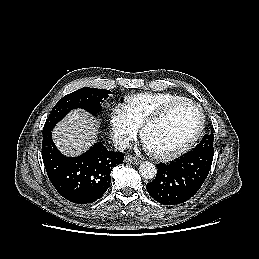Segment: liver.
<instances>
[{
  "mask_svg": "<svg viewBox=\"0 0 259 259\" xmlns=\"http://www.w3.org/2000/svg\"><path fill=\"white\" fill-rule=\"evenodd\" d=\"M98 125L84 111L75 110L53 130V139L60 151L77 156L87 150L96 140Z\"/></svg>",
  "mask_w": 259,
  "mask_h": 259,
  "instance_id": "6515ba94",
  "label": "liver"
}]
</instances>
